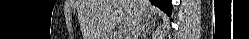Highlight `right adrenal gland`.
I'll list each match as a JSON object with an SVG mask.
<instances>
[{"instance_id":"right-adrenal-gland-1","label":"right adrenal gland","mask_w":249,"mask_h":39,"mask_svg":"<svg viewBox=\"0 0 249 39\" xmlns=\"http://www.w3.org/2000/svg\"><path fill=\"white\" fill-rule=\"evenodd\" d=\"M142 32V29H140V31L138 32V34H140Z\"/></svg>"}]
</instances>
